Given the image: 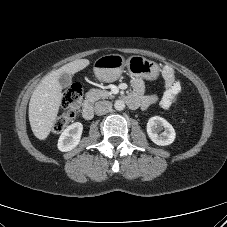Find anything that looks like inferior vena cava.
Listing matches in <instances>:
<instances>
[{
  "label": "inferior vena cava",
  "instance_id": "obj_1",
  "mask_svg": "<svg viewBox=\"0 0 227 227\" xmlns=\"http://www.w3.org/2000/svg\"><path fill=\"white\" fill-rule=\"evenodd\" d=\"M112 103L110 101H100L95 104V113L97 115H104L111 111Z\"/></svg>",
  "mask_w": 227,
  "mask_h": 227
}]
</instances>
